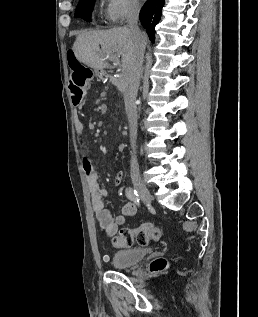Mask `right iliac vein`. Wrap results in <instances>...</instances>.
<instances>
[{"mask_svg": "<svg viewBox=\"0 0 258 317\" xmlns=\"http://www.w3.org/2000/svg\"><path fill=\"white\" fill-rule=\"evenodd\" d=\"M133 184L138 192L139 197L143 199V203L146 205V207H151L152 197L148 187H146L141 179H134Z\"/></svg>", "mask_w": 258, "mask_h": 317, "instance_id": "right-iliac-vein-1", "label": "right iliac vein"}]
</instances>
